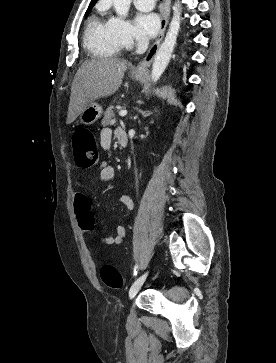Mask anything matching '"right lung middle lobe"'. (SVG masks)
<instances>
[{
    "label": "right lung middle lobe",
    "mask_w": 276,
    "mask_h": 363,
    "mask_svg": "<svg viewBox=\"0 0 276 363\" xmlns=\"http://www.w3.org/2000/svg\"><path fill=\"white\" fill-rule=\"evenodd\" d=\"M91 9H92V7H89V8H88V10H87V12H86V16H88V15H89V13H90Z\"/></svg>",
    "instance_id": "1"
}]
</instances>
